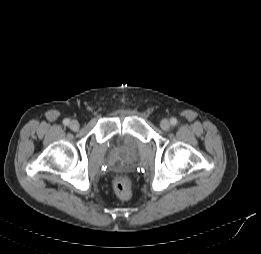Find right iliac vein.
I'll list each match as a JSON object with an SVG mask.
<instances>
[{
    "label": "right iliac vein",
    "instance_id": "63e3f726",
    "mask_svg": "<svg viewBox=\"0 0 261 254\" xmlns=\"http://www.w3.org/2000/svg\"><path fill=\"white\" fill-rule=\"evenodd\" d=\"M70 128L72 130H77L79 128V122L77 120H72L70 122Z\"/></svg>",
    "mask_w": 261,
    "mask_h": 254
}]
</instances>
